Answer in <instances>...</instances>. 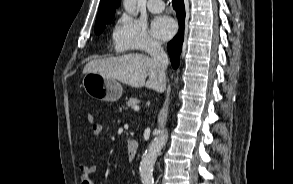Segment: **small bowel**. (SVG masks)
Returning a JSON list of instances; mask_svg holds the SVG:
<instances>
[{
	"label": "small bowel",
	"instance_id": "obj_1",
	"mask_svg": "<svg viewBox=\"0 0 293 184\" xmlns=\"http://www.w3.org/2000/svg\"><path fill=\"white\" fill-rule=\"evenodd\" d=\"M104 130L103 125L99 123H94L92 125V135L98 137L102 134ZM80 173V182L81 184H94L93 180L90 178V175L96 171L97 166L91 164L80 163L79 166Z\"/></svg>",
	"mask_w": 293,
	"mask_h": 184
}]
</instances>
